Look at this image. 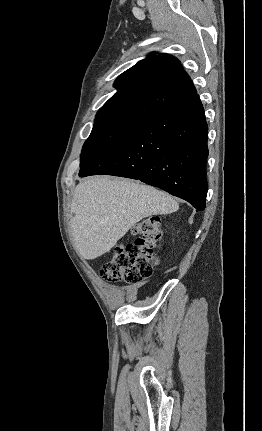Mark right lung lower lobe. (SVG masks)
<instances>
[{
	"label": "right lung lower lobe",
	"instance_id": "obj_1",
	"mask_svg": "<svg viewBox=\"0 0 262 431\" xmlns=\"http://www.w3.org/2000/svg\"><path fill=\"white\" fill-rule=\"evenodd\" d=\"M208 127L198 95L133 125L80 177L139 179L204 210Z\"/></svg>",
	"mask_w": 262,
	"mask_h": 431
}]
</instances>
